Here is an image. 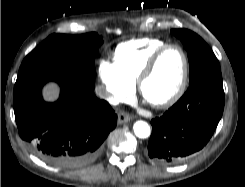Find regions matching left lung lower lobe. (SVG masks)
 <instances>
[{"instance_id":"left-lung-lower-lobe-1","label":"left lung lower lobe","mask_w":245,"mask_h":187,"mask_svg":"<svg viewBox=\"0 0 245 187\" xmlns=\"http://www.w3.org/2000/svg\"><path fill=\"white\" fill-rule=\"evenodd\" d=\"M220 71L202 76L162 117L152 119L148 157L157 164L184 161L210 140L224 109Z\"/></svg>"}]
</instances>
